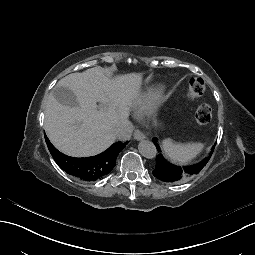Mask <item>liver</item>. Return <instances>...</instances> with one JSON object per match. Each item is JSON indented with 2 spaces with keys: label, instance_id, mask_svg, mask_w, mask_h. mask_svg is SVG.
<instances>
[{
  "label": "liver",
  "instance_id": "1",
  "mask_svg": "<svg viewBox=\"0 0 255 255\" xmlns=\"http://www.w3.org/2000/svg\"><path fill=\"white\" fill-rule=\"evenodd\" d=\"M139 83L136 75L114 83L100 66L64 77L56 88L73 92L79 106L63 105L53 92L49 95L44 125L49 140L71 157L103 152L114 142L119 127L127 122V103L136 94Z\"/></svg>",
  "mask_w": 255,
  "mask_h": 255
}]
</instances>
